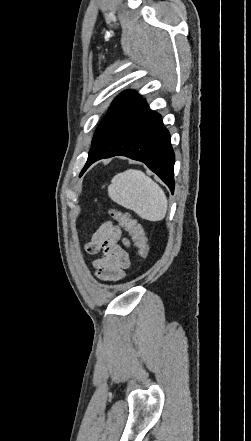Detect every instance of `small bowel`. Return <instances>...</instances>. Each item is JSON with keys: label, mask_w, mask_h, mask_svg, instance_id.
<instances>
[{"label": "small bowel", "mask_w": 251, "mask_h": 441, "mask_svg": "<svg viewBox=\"0 0 251 441\" xmlns=\"http://www.w3.org/2000/svg\"><path fill=\"white\" fill-rule=\"evenodd\" d=\"M129 246V241L122 236L121 229L111 222L102 224L86 244L89 254L102 252V256L93 261L96 276L102 281H119L130 266V257L122 246Z\"/></svg>", "instance_id": "1"}]
</instances>
